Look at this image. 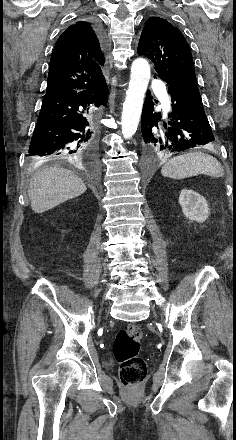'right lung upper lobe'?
<instances>
[{
    "label": "right lung upper lobe",
    "mask_w": 236,
    "mask_h": 440,
    "mask_svg": "<svg viewBox=\"0 0 236 440\" xmlns=\"http://www.w3.org/2000/svg\"><path fill=\"white\" fill-rule=\"evenodd\" d=\"M105 48L96 29L86 21L68 27L51 55L46 94L84 90L104 80Z\"/></svg>",
    "instance_id": "cb5924a9"
}]
</instances>
